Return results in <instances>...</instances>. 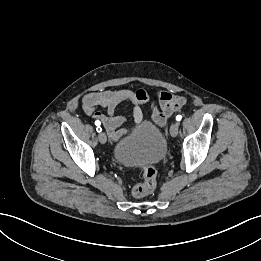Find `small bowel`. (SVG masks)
<instances>
[{
  "instance_id": "small-bowel-1",
  "label": "small bowel",
  "mask_w": 261,
  "mask_h": 261,
  "mask_svg": "<svg viewBox=\"0 0 261 261\" xmlns=\"http://www.w3.org/2000/svg\"><path fill=\"white\" fill-rule=\"evenodd\" d=\"M156 98L157 102H153L151 94L144 89L137 91L105 90L84 96L82 109L86 115L99 120L112 138H117L125 133L124 130L119 129L125 122V117L116 114L118 106L128 105L131 107L135 124L142 122V107L148 106L154 123L163 127L168 118L178 112L186 103L183 96L168 91H159ZM100 108L104 111H101Z\"/></svg>"
}]
</instances>
